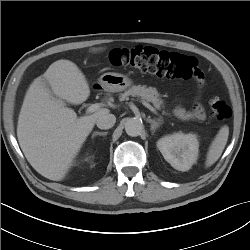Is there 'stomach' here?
Returning a JSON list of instances; mask_svg holds the SVG:
<instances>
[{
	"mask_svg": "<svg viewBox=\"0 0 250 250\" xmlns=\"http://www.w3.org/2000/svg\"><path fill=\"white\" fill-rule=\"evenodd\" d=\"M132 80L123 74L108 72L104 73L98 79V85L105 91L120 92L132 85Z\"/></svg>",
	"mask_w": 250,
	"mask_h": 250,
	"instance_id": "1",
	"label": "stomach"
}]
</instances>
